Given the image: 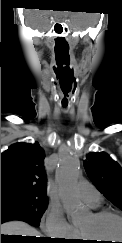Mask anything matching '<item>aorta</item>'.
Wrapping results in <instances>:
<instances>
[{
  "label": "aorta",
  "instance_id": "aorta-1",
  "mask_svg": "<svg viewBox=\"0 0 122 243\" xmlns=\"http://www.w3.org/2000/svg\"><path fill=\"white\" fill-rule=\"evenodd\" d=\"M80 164L76 156L65 153L59 160L55 178L60 188V196L67 215L74 220L80 213L82 204L75 187L80 176Z\"/></svg>",
  "mask_w": 122,
  "mask_h": 243
}]
</instances>
